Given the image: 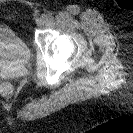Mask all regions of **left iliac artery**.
<instances>
[{
    "mask_svg": "<svg viewBox=\"0 0 133 133\" xmlns=\"http://www.w3.org/2000/svg\"><path fill=\"white\" fill-rule=\"evenodd\" d=\"M42 17L45 19V21H47L51 17V14L46 13V14H43Z\"/></svg>",
    "mask_w": 133,
    "mask_h": 133,
    "instance_id": "obj_1",
    "label": "left iliac artery"
}]
</instances>
